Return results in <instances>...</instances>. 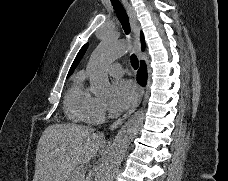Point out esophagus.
I'll list each match as a JSON object with an SVG mask.
<instances>
[{"label":"esophagus","instance_id":"34e87169","mask_svg":"<svg viewBox=\"0 0 228 181\" xmlns=\"http://www.w3.org/2000/svg\"><path fill=\"white\" fill-rule=\"evenodd\" d=\"M122 1L124 3V6L126 7V10H127V13H128L129 19H130V23L132 26V33H133V40H134L133 50L135 53H138V52H140L141 44H140V27H139V23L137 20L136 12L127 0H122ZM143 95H144V88L141 87L139 89L138 96H137L136 100L134 101L133 105L131 106V108L127 111V113H125L121 118H119L117 121H115L110 126L111 131L119 128L121 126V124L124 123V121L127 118H129V116H131V114L140 105Z\"/></svg>","mask_w":228,"mask_h":181}]
</instances>
